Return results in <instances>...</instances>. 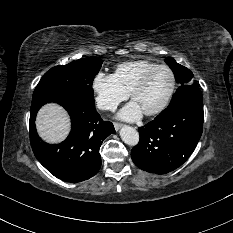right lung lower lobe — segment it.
Returning <instances> with one entry per match:
<instances>
[{"mask_svg": "<svg viewBox=\"0 0 233 233\" xmlns=\"http://www.w3.org/2000/svg\"><path fill=\"white\" fill-rule=\"evenodd\" d=\"M48 102L63 106L71 117L72 129L68 138L58 145L42 141L35 127L39 108ZM30 143L35 157L55 177L77 183L93 177L101 167L99 148L115 132L111 122H105L95 109L73 99H38L30 111Z\"/></svg>", "mask_w": 233, "mask_h": 233, "instance_id": "98d812e1", "label": "right lung lower lobe"}]
</instances>
